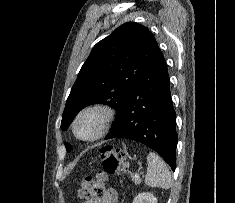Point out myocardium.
<instances>
[{
    "instance_id": "obj_1",
    "label": "myocardium",
    "mask_w": 235,
    "mask_h": 203,
    "mask_svg": "<svg viewBox=\"0 0 235 203\" xmlns=\"http://www.w3.org/2000/svg\"><path fill=\"white\" fill-rule=\"evenodd\" d=\"M88 113H97L100 115V125L98 131L91 137H82L78 133L77 125L80 119ZM114 110L106 104L94 103L83 107L75 116L72 123V130L76 138L84 142H94L103 137L111 126L114 119Z\"/></svg>"
}]
</instances>
